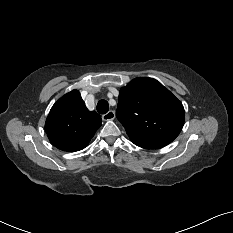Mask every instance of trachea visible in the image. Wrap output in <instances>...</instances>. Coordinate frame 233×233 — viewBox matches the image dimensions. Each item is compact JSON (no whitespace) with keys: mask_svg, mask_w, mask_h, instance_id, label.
<instances>
[{"mask_svg":"<svg viewBox=\"0 0 233 233\" xmlns=\"http://www.w3.org/2000/svg\"><path fill=\"white\" fill-rule=\"evenodd\" d=\"M109 110V105L106 100H100L97 104V111L100 114H106Z\"/></svg>","mask_w":233,"mask_h":233,"instance_id":"obj_1","label":"trachea"}]
</instances>
